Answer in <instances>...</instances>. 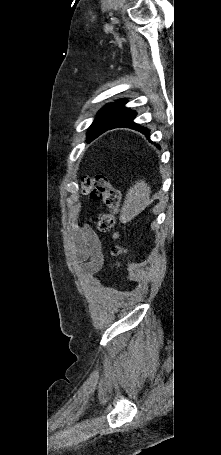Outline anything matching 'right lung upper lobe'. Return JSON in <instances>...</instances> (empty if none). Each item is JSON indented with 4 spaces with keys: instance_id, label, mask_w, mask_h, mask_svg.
Instances as JSON below:
<instances>
[{
    "instance_id": "1",
    "label": "right lung upper lobe",
    "mask_w": 221,
    "mask_h": 455,
    "mask_svg": "<svg viewBox=\"0 0 221 455\" xmlns=\"http://www.w3.org/2000/svg\"><path fill=\"white\" fill-rule=\"evenodd\" d=\"M125 103H126V100H119V101H117V103H110V104H108L106 106H111V107H115V108L124 109V110H126L128 112L131 111V110L122 108Z\"/></svg>"
}]
</instances>
